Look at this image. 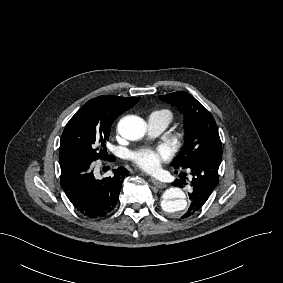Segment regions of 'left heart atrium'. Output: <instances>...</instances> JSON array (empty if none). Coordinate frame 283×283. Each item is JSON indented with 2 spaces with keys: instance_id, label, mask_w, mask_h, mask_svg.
<instances>
[{
  "instance_id": "obj_1",
  "label": "left heart atrium",
  "mask_w": 283,
  "mask_h": 283,
  "mask_svg": "<svg viewBox=\"0 0 283 283\" xmlns=\"http://www.w3.org/2000/svg\"><path fill=\"white\" fill-rule=\"evenodd\" d=\"M172 157V152L165 146L158 148H144L132 154L133 162L142 170L155 173L162 162L168 161Z\"/></svg>"
}]
</instances>
